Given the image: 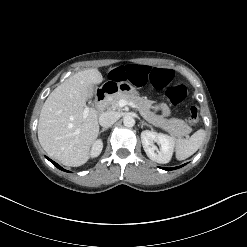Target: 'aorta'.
<instances>
[{
    "instance_id": "762f6f07",
    "label": "aorta",
    "mask_w": 247,
    "mask_h": 247,
    "mask_svg": "<svg viewBox=\"0 0 247 247\" xmlns=\"http://www.w3.org/2000/svg\"><path fill=\"white\" fill-rule=\"evenodd\" d=\"M123 124H124L125 127H129L130 128V127H133L135 125V120H134L133 117L127 116V117L124 118Z\"/></svg>"
}]
</instances>
